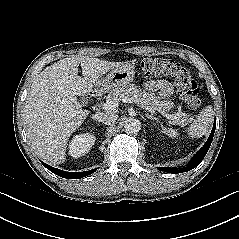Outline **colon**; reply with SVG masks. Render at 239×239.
Wrapping results in <instances>:
<instances>
[{"label": "colon", "mask_w": 239, "mask_h": 239, "mask_svg": "<svg viewBox=\"0 0 239 239\" xmlns=\"http://www.w3.org/2000/svg\"><path fill=\"white\" fill-rule=\"evenodd\" d=\"M139 69L146 76H166L173 79L181 99L187 107L196 110L200 107V91L191 73L181 64L169 59L143 60Z\"/></svg>", "instance_id": "colon-1"}]
</instances>
